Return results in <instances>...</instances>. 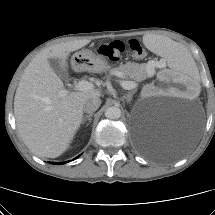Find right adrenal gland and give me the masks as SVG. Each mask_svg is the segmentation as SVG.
I'll return each instance as SVG.
<instances>
[{
  "label": "right adrenal gland",
  "mask_w": 215,
  "mask_h": 215,
  "mask_svg": "<svg viewBox=\"0 0 215 215\" xmlns=\"http://www.w3.org/2000/svg\"><path fill=\"white\" fill-rule=\"evenodd\" d=\"M93 116V113H90L89 115H85L82 119V124H85V122L88 120L89 122H91V117Z\"/></svg>",
  "instance_id": "right-adrenal-gland-1"
}]
</instances>
